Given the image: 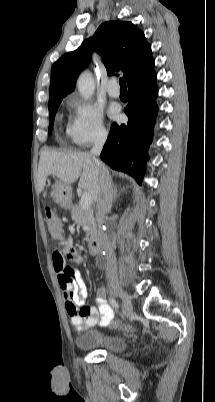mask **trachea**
Returning <instances> with one entry per match:
<instances>
[{
	"instance_id": "obj_1",
	"label": "trachea",
	"mask_w": 215,
	"mask_h": 402,
	"mask_svg": "<svg viewBox=\"0 0 215 402\" xmlns=\"http://www.w3.org/2000/svg\"><path fill=\"white\" fill-rule=\"evenodd\" d=\"M119 83H120L121 89H126L127 88L125 77L120 78Z\"/></svg>"
}]
</instances>
